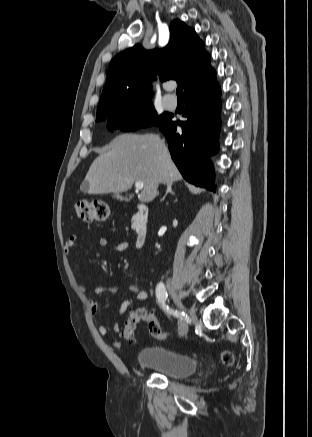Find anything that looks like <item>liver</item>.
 <instances>
[{
    "mask_svg": "<svg viewBox=\"0 0 312 437\" xmlns=\"http://www.w3.org/2000/svg\"><path fill=\"white\" fill-rule=\"evenodd\" d=\"M182 176L171 159L168 148L155 134H122L113 140L110 151L91 164L81 190L89 194L122 193L141 181L144 187L138 196L151 202L159 184H173Z\"/></svg>",
    "mask_w": 312,
    "mask_h": 437,
    "instance_id": "liver-1",
    "label": "liver"
}]
</instances>
